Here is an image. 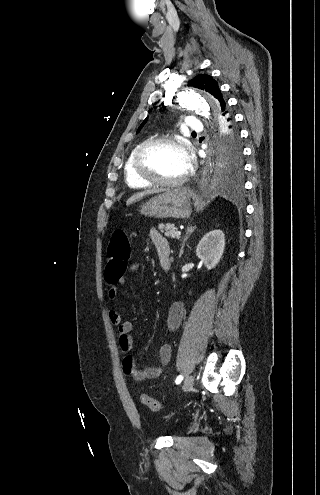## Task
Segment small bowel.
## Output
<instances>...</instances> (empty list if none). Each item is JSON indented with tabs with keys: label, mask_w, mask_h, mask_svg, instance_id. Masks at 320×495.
<instances>
[{
	"label": "small bowel",
	"mask_w": 320,
	"mask_h": 495,
	"mask_svg": "<svg viewBox=\"0 0 320 495\" xmlns=\"http://www.w3.org/2000/svg\"><path fill=\"white\" fill-rule=\"evenodd\" d=\"M150 237L153 244L156 247L158 255L169 248L166 239L156 230L151 229ZM143 268L142 264H133L130 266V270L135 272L139 268ZM110 283V282H109ZM112 284L109 290V299L114 301L117 298L118 289L124 284V279L121 277L118 282ZM109 319L113 325L117 327L118 343L121 351L126 354L123 358V370L135 381H144L147 379H155L162 373L163 367L167 365L171 359L172 348L169 344L164 343L159 348V362L158 366H151L147 368H138L135 359L129 354L133 348V339L131 332L133 330V324L130 321L122 320L119 312L116 308H110L108 312ZM186 316V309L183 303L174 302L168 311L166 319V331L169 334H175L182 326Z\"/></svg>",
	"instance_id": "c3829d8e"
}]
</instances>
